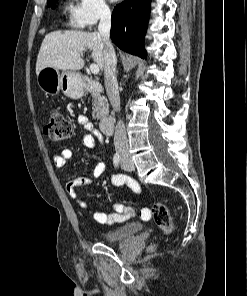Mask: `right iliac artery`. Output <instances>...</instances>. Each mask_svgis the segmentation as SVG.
Returning a JSON list of instances; mask_svg holds the SVG:
<instances>
[{"instance_id":"obj_1","label":"right iliac artery","mask_w":247,"mask_h":296,"mask_svg":"<svg viewBox=\"0 0 247 296\" xmlns=\"http://www.w3.org/2000/svg\"><path fill=\"white\" fill-rule=\"evenodd\" d=\"M120 155L118 153H116L113 157V164L115 167H118L119 163H120Z\"/></svg>"}]
</instances>
